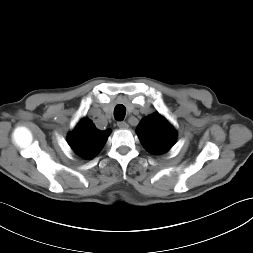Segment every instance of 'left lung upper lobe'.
Instances as JSON below:
<instances>
[{
	"label": "left lung upper lobe",
	"instance_id": "obj_1",
	"mask_svg": "<svg viewBox=\"0 0 253 253\" xmlns=\"http://www.w3.org/2000/svg\"><path fill=\"white\" fill-rule=\"evenodd\" d=\"M137 134L144 148L152 154H163L175 143L177 133L159 113L142 119Z\"/></svg>",
	"mask_w": 253,
	"mask_h": 253
}]
</instances>
